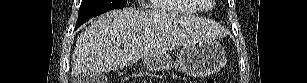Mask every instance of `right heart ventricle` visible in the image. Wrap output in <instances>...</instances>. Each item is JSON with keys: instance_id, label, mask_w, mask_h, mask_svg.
Segmentation results:
<instances>
[{"instance_id": "obj_1", "label": "right heart ventricle", "mask_w": 307, "mask_h": 83, "mask_svg": "<svg viewBox=\"0 0 307 83\" xmlns=\"http://www.w3.org/2000/svg\"><path fill=\"white\" fill-rule=\"evenodd\" d=\"M155 11L165 15L193 14L196 13V5L188 0H154ZM198 9V8H197Z\"/></svg>"}]
</instances>
